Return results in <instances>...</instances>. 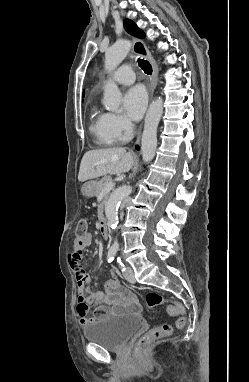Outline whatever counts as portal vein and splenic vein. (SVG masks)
Returning <instances> with one entry per match:
<instances>
[{
  "label": "portal vein and splenic vein",
  "mask_w": 249,
  "mask_h": 382,
  "mask_svg": "<svg viewBox=\"0 0 249 382\" xmlns=\"http://www.w3.org/2000/svg\"><path fill=\"white\" fill-rule=\"evenodd\" d=\"M114 186H115V183H113V182H108V183L105 185L103 191H104V192H109L110 190L113 189Z\"/></svg>",
  "instance_id": "1"
}]
</instances>
